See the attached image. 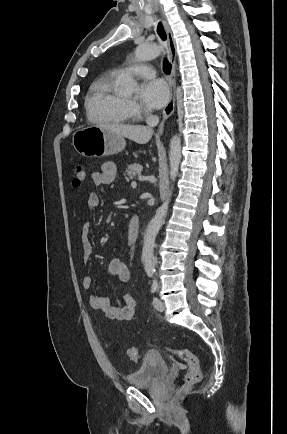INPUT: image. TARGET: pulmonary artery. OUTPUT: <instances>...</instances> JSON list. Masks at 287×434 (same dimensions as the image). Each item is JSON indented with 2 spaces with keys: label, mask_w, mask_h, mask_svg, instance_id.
Instances as JSON below:
<instances>
[{
  "label": "pulmonary artery",
  "mask_w": 287,
  "mask_h": 434,
  "mask_svg": "<svg viewBox=\"0 0 287 434\" xmlns=\"http://www.w3.org/2000/svg\"><path fill=\"white\" fill-rule=\"evenodd\" d=\"M119 72L124 75H135L141 78H152L155 76L154 70L145 64H139L131 67H124L119 70Z\"/></svg>",
  "instance_id": "1"
}]
</instances>
